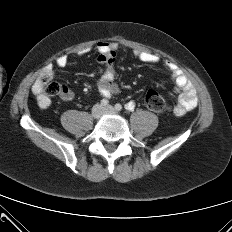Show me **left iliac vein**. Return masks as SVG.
Segmentation results:
<instances>
[{"mask_svg": "<svg viewBox=\"0 0 232 232\" xmlns=\"http://www.w3.org/2000/svg\"><path fill=\"white\" fill-rule=\"evenodd\" d=\"M104 114H117V111L112 106H107L104 108Z\"/></svg>", "mask_w": 232, "mask_h": 232, "instance_id": "4c4485c4", "label": "left iliac vein"}]
</instances>
